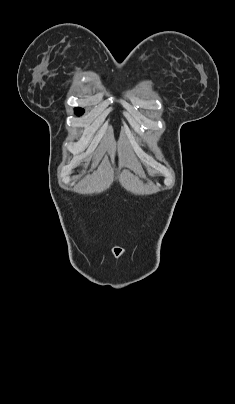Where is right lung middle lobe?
Instances as JSON below:
<instances>
[{"mask_svg": "<svg viewBox=\"0 0 235 404\" xmlns=\"http://www.w3.org/2000/svg\"><path fill=\"white\" fill-rule=\"evenodd\" d=\"M75 112L77 115H82L84 113V110L82 108H76Z\"/></svg>", "mask_w": 235, "mask_h": 404, "instance_id": "right-lung-middle-lobe-1", "label": "right lung middle lobe"}]
</instances>
